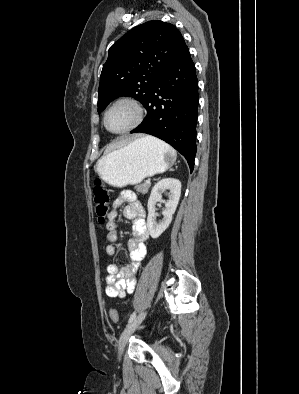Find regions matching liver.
Here are the masks:
<instances>
[{
	"instance_id": "obj_1",
	"label": "liver",
	"mask_w": 299,
	"mask_h": 394,
	"mask_svg": "<svg viewBox=\"0 0 299 394\" xmlns=\"http://www.w3.org/2000/svg\"><path fill=\"white\" fill-rule=\"evenodd\" d=\"M126 142H128V140L124 141L123 143H126Z\"/></svg>"
}]
</instances>
